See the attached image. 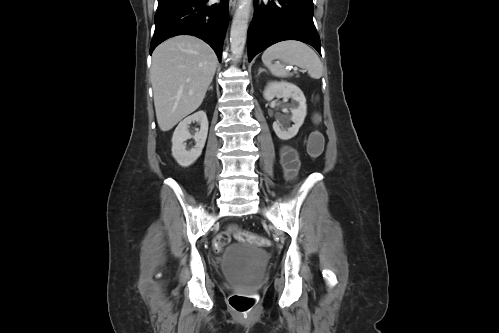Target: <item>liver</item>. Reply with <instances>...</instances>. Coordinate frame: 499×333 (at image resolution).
<instances>
[{"mask_svg":"<svg viewBox=\"0 0 499 333\" xmlns=\"http://www.w3.org/2000/svg\"><path fill=\"white\" fill-rule=\"evenodd\" d=\"M218 59L201 39L179 35L152 54L150 78L161 131L171 130L201 105L213 80Z\"/></svg>","mask_w":499,"mask_h":333,"instance_id":"liver-1","label":"liver"}]
</instances>
